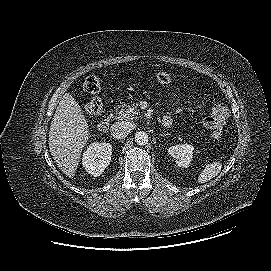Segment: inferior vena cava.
I'll return each instance as SVG.
<instances>
[{"label":"inferior vena cava","mask_w":271,"mask_h":271,"mask_svg":"<svg viewBox=\"0 0 271 271\" xmlns=\"http://www.w3.org/2000/svg\"><path fill=\"white\" fill-rule=\"evenodd\" d=\"M111 134L116 139L125 138L130 132V125L127 122H116L111 126Z\"/></svg>","instance_id":"inferior-vena-cava-1"}]
</instances>
